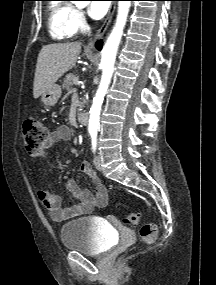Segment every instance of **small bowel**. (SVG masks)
Instances as JSON below:
<instances>
[{"label":"small bowel","instance_id":"small-bowel-1","mask_svg":"<svg viewBox=\"0 0 216 285\" xmlns=\"http://www.w3.org/2000/svg\"><path fill=\"white\" fill-rule=\"evenodd\" d=\"M71 129L66 125H60L53 130L45 144V149H49L56 143L69 140L71 138ZM81 171L87 175L96 185L95 191L81 189L77 183L70 180L67 183V191L75 197L78 202L68 207H62L60 198L48 191L40 190L38 198L41 204L47 209L51 218L55 221H65L71 218L87 215L95 207L105 206L108 202V195L105 187L99 182L97 174L88 162L81 165Z\"/></svg>","mask_w":216,"mask_h":285}]
</instances>
